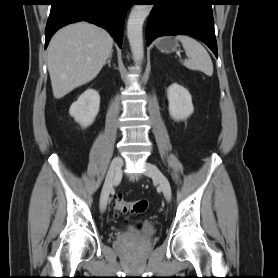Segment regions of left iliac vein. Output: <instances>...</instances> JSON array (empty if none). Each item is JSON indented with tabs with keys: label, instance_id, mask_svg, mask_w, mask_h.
<instances>
[{
	"label": "left iliac vein",
	"instance_id": "obj_1",
	"mask_svg": "<svg viewBox=\"0 0 278 278\" xmlns=\"http://www.w3.org/2000/svg\"><path fill=\"white\" fill-rule=\"evenodd\" d=\"M145 174L157 181L167 201L171 200V186L166 176L158 169L157 166L145 163Z\"/></svg>",
	"mask_w": 278,
	"mask_h": 278
}]
</instances>
